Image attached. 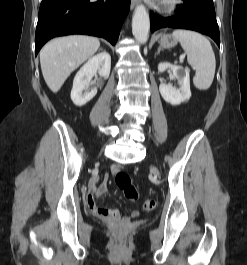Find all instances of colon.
Here are the masks:
<instances>
[{
	"instance_id": "5ec220e1",
	"label": "colon",
	"mask_w": 247,
	"mask_h": 265,
	"mask_svg": "<svg viewBox=\"0 0 247 265\" xmlns=\"http://www.w3.org/2000/svg\"><path fill=\"white\" fill-rule=\"evenodd\" d=\"M115 183L117 187L122 190L124 196L131 201L138 198V191L132 183L131 177L124 171H119L115 177ZM156 207V201L153 199H147L143 203V209L145 211H152Z\"/></svg>"
}]
</instances>
